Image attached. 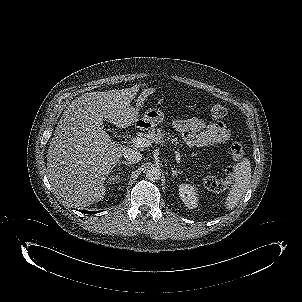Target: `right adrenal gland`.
Segmentation results:
<instances>
[{"mask_svg": "<svg viewBox=\"0 0 302 302\" xmlns=\"http://www.w3.org/2000/svg\"><path fill=\"white\" fill-rule=\"evenodd\" d=\"M119 165L130 166V165H132V163L131 162L122 161V162H119Z\"/></svg>", "mask_w": 302, "mask_h": 302, "instance_id": "right-adrenal-gland-1", "label": "right adrenal gland"}]
</instances>
